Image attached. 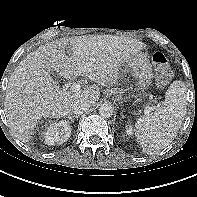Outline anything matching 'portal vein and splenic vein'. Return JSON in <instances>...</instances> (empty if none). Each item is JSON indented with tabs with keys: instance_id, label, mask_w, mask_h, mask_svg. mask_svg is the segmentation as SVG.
<instances>
[{
	"instance_id": "18ae733b",
	"label": "portal vein and splenic vein",
	"mask_w": 197,
	"mask_h": 197,
	"mask_svg": "<svg viewBox=\"0 0 197 197\" xmlns=\"http://www.w3.org/2000/svg\"><path fill=\"white\" fill-rule=\"evenodd\" d=\"M71 91L72 92H79L80 89H81V85L79 83H74L72 86H71ZM153 110L152 107L150 106H147L146 109H145V113L148 114L149 112H151Z\"/></svg>"
}]
</instances>
